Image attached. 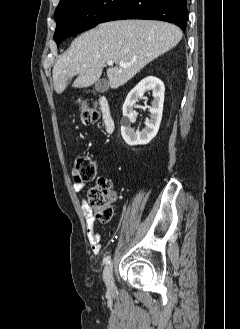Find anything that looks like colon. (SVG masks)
Masks as SVG:
<instances>
[{
  "instance_id": "obj_1",
  "label": "colon",
  "mask_w": 240,
  "mask_h": 329,
  "mask_svg": "<svg viewBox=\"0 0 240 329\" xmlns=\"http://www.w3.org/2000/svg\"><path fill=\"white\" fill-rule=\"evenodd\" d=\"M79 119L82 124L90 125L99 122L100 114L96 107H88L83 104L79 112ZM96 176L97 166L94 159L90 156H80L72 169L73 180L76 183H87L93 181ZM87 201L100 222L106 223L113 219V193L109 179L99 178L97 186L88 191Z\"/></svg>"
}]
</instances>
